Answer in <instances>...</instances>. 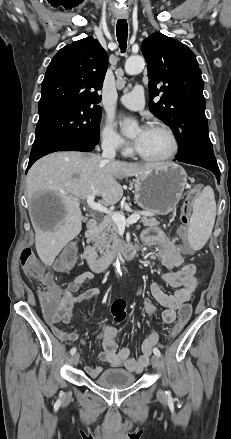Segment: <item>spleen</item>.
Returning a JSON list of instances; mask_svg holds the SVG:
<instances>
[{
    "label": "spleen",
    "mask_w": 231,
    "mask_h": 439,
    "mask_svg": "<svg viewBox=\"0 0 231 439\" xmlns=\"http://www.w3.org/2000/svg\"><path fill=\"white\" fill-rule=\"evenodd\" d=\"M216 217L214 191L206 186L193 204L188 227V241L194 250L202 248L212 232Z\"/></svg>",
    "instance_id": "obj_1"
}]
</instances>
